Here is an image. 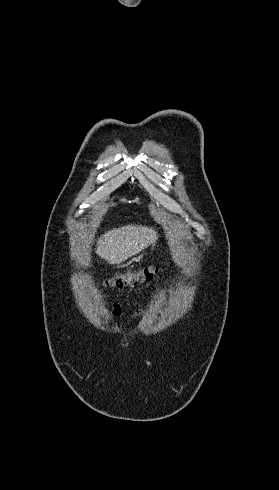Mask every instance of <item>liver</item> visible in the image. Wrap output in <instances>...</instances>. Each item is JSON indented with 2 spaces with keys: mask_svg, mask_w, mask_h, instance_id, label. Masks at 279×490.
Wrapping results in <instances>:
<instances>
[{
  "mask_svg": "<svg viewBox=\"0 0 279 490\" xmlns=\"http://www.w3.org/2000/svg\"><path fill=\"white\" fill-rule=\"evenodd\" d=\"M157 238V232L147 226L113 228L99 238L96 254L107 264H122L154 244Z\"/></svg>",
  "mask_w": 279,
  "mask_h": 490,
  "instance_id": "liver-1",
  "label": "liver"
}]
</instances>
